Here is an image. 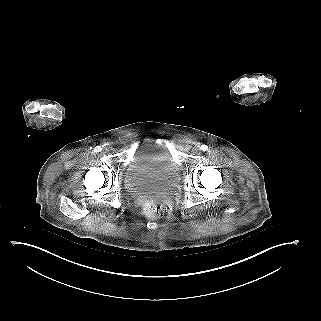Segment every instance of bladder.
<instances>
[{
    "mask_svg": "<svg viewBox=\"0 0 321 321\" xmlns=\"http://www.w3.org/2000/svg\"><path fill=\"white\" fill-rule=\"evenodd\" d=\"M180 180V166L169 148L156 142L139 146L123 174L125 189L134 195L166 193Z\"/></svg>",
    "mask_w": 321,
    "mask_h": 321,
    "instance_id": "31cf9c89",
    "label": "bladder"
}]
</instances>
